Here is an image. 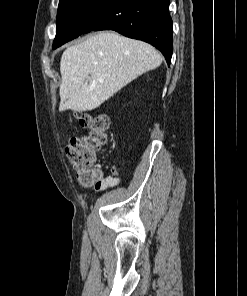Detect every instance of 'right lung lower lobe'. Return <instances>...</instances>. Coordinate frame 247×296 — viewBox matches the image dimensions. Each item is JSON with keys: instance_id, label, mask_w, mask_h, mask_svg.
<instances>
[{"instance_id": "98d812e1", "label": "right lung lower lobe", "mask_w": 247, "mask_h": 296, "mask_svg": "<svg viewBox=\"0 0 247 296\" xmlns=\"http://www.w3.org/2000/svg\"><path fill=\"white\" fill-rule=\"evenodd\" d=\"M170 0H107L88 19L83 32L114 30L150 43L162 52L168 65L173 52Z\"/></svg>"}]
</instances>
